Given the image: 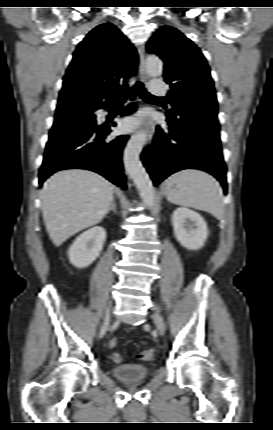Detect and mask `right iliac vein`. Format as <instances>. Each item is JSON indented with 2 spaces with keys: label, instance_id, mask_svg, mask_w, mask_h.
<instances>
[{
  "label": "right iliac vein",
  "instance_id": "obj_1",
  "mask_svg": "<svg viewBox=\"0 0 273 430\" xmlns=\"http://www.w3.org/2000/svg\"><path fill=\"white\" fill-rule=\"evenodd\" d=\"M109 322H110V316H109V315H106V316L104 317V322H103V324H102V326H101V329H102V330H106V329H107V327H108V325H109Z\"/></svg>",
  "mask_w": 273,
  "mask_h": 430
}]
</instances>
